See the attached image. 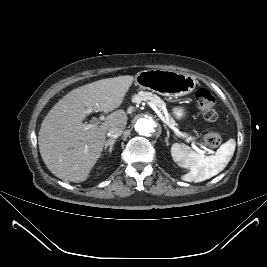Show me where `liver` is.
<instances>
[{
  "label": "liver",
  "instance_id": "1",
  "mask_svg": "<svg viewBox=\"0 0 267 267\" xmlns=\"http://www.w3.org/2000/svg\"><path fill=\"white\" fill-rule=\"evenodd\" d=\"M130 75L101 79L70 91L45 116L38 136L40 154L47 168L64 181H85L101 157L106 133L112 126L125 128L124 111L108 115L100 125L84 129L87 109L112 112L123 103L133 83Z\"/></svg>",
  "mask_w": 267,
  "mask_h": 267
}]
</instances>
